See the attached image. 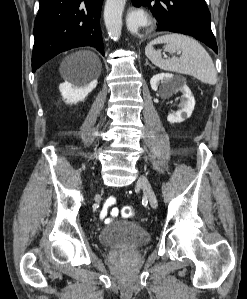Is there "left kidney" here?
<instances>
[{
    "label": "left kidney",
    "instance_id": "5707ae66",
    "mask_svg": "<svg viewBox=\"0 0 247 299\" xmlns=\"http://www.w3.org/2000/svg\"><path fill=\"white\" fill-rule=\"evenodd\" d=\"M162 84V89L168 90L170 93L180 91L183 95L178 105L179 109L168 114L167 120L170 123H180L192 115L195 106V99L189 87L181 84L173 75L160 73L154 75L150 80L151 88L157 91L158 86Z\"/></svg>",
    "mask_w": 247,
    "mask_h": 299
}]
</instances>
